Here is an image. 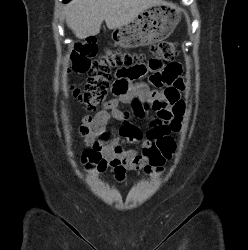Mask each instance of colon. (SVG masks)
<instances>
[{"instance_id":"1","label":"colon","mask_w":248,"mask_h":250,"mask_svg":"<svg viewBox=\"0 0 248 250\" xmlns=\"http://www.w3.org/2000/svg\"><path fill=\"white\" fill-rule=\"evenodd\" d=\"M152 57L148 64L155 72L151 76V83L158 89H163L166 102L172 104L177 112L182 110L180 95L172 87L175 77L167 71L160 72L162 61L172 60L178 54L177 44L173 41H160L151 46ZM146 62L142 53L123 50L120 48L106 49L98 54L97 44L92 41L78 43L72 51L70 71L74 73H88L89 78L83 89L74 88L73 94L87 111H94L106 100L111 85V69L120 68L123 75L129 79L138 78V66ZM157 107L156 103H145L138 99L133 101L134 114L144 116L147 111ZM175 152L174 139L170 133H162L154 138V153L151 164L146 168H159L169 161ZM84 158L92 165L94 152L87 149Z\"/></svg>"}]
</instances>
